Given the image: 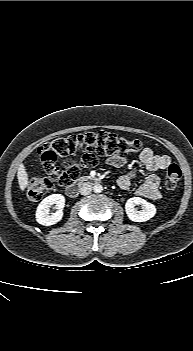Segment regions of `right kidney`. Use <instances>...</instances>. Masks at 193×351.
Wrapping results in <instances>:
<instances>
[{"mask_svg": "<svg viewBox=\"0 0 193 351\" xmlns=\"http://www.w3.org/2000/svg\"><path fill=\"white\" fill-rule=\"evenodd\" d=\"M55 205L57 211L50 213V207ZM65 197L61 194H52L44 198L37 207L36 221L44 226L54 225L63 217Z\"/></svg>", "mask_w": 193, "mask_h": 351, "instance_id": "obj_1", "label": "right kidney"}]
</instances>
